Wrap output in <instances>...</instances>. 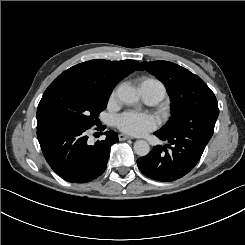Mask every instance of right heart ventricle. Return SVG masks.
<instances>
[{
    "label": "right heart ventricle",
    "instance_id": "obj_1",
    "mask_svg": "<svg viewBox=\"0 0 245 245\" xmlns=\"http://www.w3.org/2000/svg\"><path fill=\"white\" fill-rule=\"evenodd\" d=\"M147 82L148 83H151L152 85H154L155 87H157L162 92V95L163 96L165 95V88L162 85V83H160L159 81L154 80V79H148V80L144 81L143 83H147Z\"/></svg>",
    "mask_w": 245,
    "mask_h": 245
}]
</instances>
